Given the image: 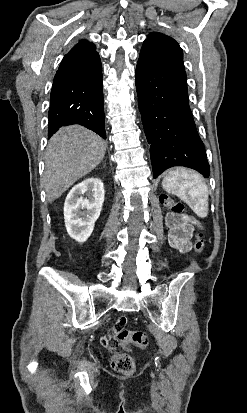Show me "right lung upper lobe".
Returning a JSON list of instances; mask_svg holds the SVG:
<instances>
[{
  "instance_id": "cb5924a9",
  "label": "right lung upper lobe",
  "mask_w": 247,
  "mask_h": 413,
  "mask_svg": "<svg viewBox=\"0 0 247 413\" xmlns=\"http://www.w3.org/2000/svg\"><path fill=\"white\" fill-rule=\"evenodd\" d=\"M99 62L96 46L87 40H81L64 56L59 68H78Z\"/></svg>"
}]
</instances>
